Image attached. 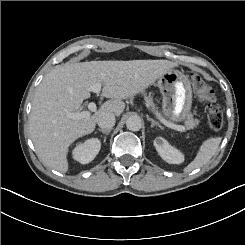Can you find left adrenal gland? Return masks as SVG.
Returning <instances> with one entry per match:
<instances>
[{"mask_svg":"<svg viewBox=\"0 0 245 245\" xmlns=\"http://www.w3.org/2000/svg\"><path fill=\"white\" fill-rule=\"evenodd\" d=\"M147 120L151 121V127L154 125H157L159 128L164 129L163 126H161L158 122H156L153 118H150L149 115H146Z\"/></svg>","mask_w":245,"mask_h":245,"instance_id":"a2214340","label":"left adrenal gland"}]
</instances>
